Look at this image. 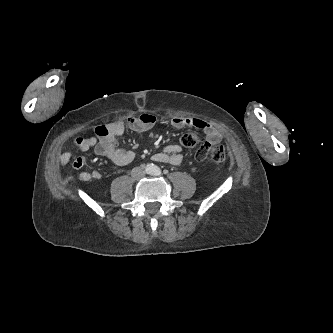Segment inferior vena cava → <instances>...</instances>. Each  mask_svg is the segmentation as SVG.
<instances>
[{
    "label": "inferior vena cava",
    "instance_id": "obj_1",
    "mask_svg": "<svg viewBox=\"0 0 333 333\" xmlns=\"http://www.w3.org/2000/svg\"><path fill=\"white\" fill-rule=\"evenodd\" d=\"M146 172L142 167H135L132 169L131 175L134 179L139 180L145 176Z\"/></svg>",
    "mask_w": 333,
    "mask_h": 333
}]
</instances>
